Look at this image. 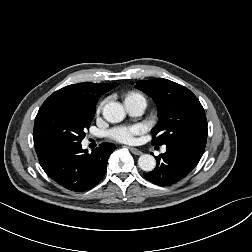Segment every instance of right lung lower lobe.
I'll list each match as a JSON object with an SVG mask.
<instances>
[{
    "instance_id": "obj_1",
    "label": "right lung lower lobe",
    "mask_w": 252,
    "mask_h": 252,
    "mask_svg": "<svg viewBox=\"0 0 252 252\" xmlns=\"http://www.w3.org/2000/svg\"><path fill=\"white\" fill-rule=\"evenodd\" d=\"M34 146L45 173L66 189L79 192L99 183L106 173L108 158L116 149L112 143H102L89 154L81 142Z\"/></svg>"
}]
</instances>
